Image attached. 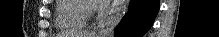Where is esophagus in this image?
<instances>
[{
    "mask_svg": "<svg viewBox=\"0 0 219 37\" xmlns=\"http://www.w3.org/2000/svg\"><path fill=\"white\" fill-rule=\"evenodd\" d=\"M91 34L95 35V34H96V31H95V30H94V31H92V32H91Z\"/></svg>",
    "mask_w": 219,
    "mask_h": 37,
    "instance_id": "34e87169",
    "label": "esophagus"
}]
</instances>
